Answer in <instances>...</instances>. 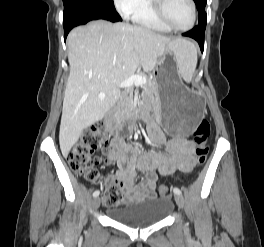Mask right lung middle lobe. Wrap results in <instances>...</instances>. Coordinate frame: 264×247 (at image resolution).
I'll return each instance as SVG.
<instances>
[{"instance_id": "obj_1", "label": "right lung middle lobe", "mask_w": 264, "mask_h": 247, "mask_svg": "<svg viewBox=\"0 0 264 247\" xmlns=\"http://www.w3.org/2000/svg\"><path fill=\"white\" fill-rule=\"evenodd\" d=\"M64 5L69 3H79L89 6H94L98 8H105V9H114L113 0H63Z\"/></svg>"}]
</instances>
